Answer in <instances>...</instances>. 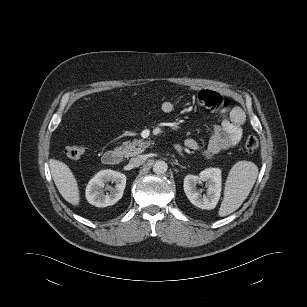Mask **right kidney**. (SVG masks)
Here are the masks:
<instances>
[{
	"instance_id": "obj_1",
	"label": "right kidney",
	"mask_w": 307,
	"mask_h": 307,
	"mask_svg": "<svg viewBox=\"0 0 307 307\" xmlns=\"http://www.w3.org/2000/svg\"><path fill=\"white\" fill-rule=\"evenodd\" d=\"M112 181L115 187L110 193L104 194L102 189L107 182ZM126 186V176L123 173L105 169L99 171L86 187V198L88 202L96 207H107L118 202L124 193Z\"/></svg>"
}]
</instances>
